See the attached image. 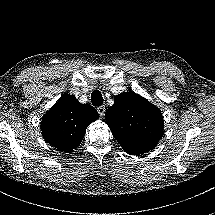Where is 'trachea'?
I'll use <instances>...</instances> for the list:
<instances>
[{
  "label": "trachea",
  "mask_w": 215,
  "mask_h": 215,
  "mask_svg": "<svg viewBox=\"0 0 215 215\" xmlns=\"http://www.w3.org/2000/svg\"><path fill=\"white\" fill-rule=\"evenodd\" d=\"M91 102L94 106H101L103 104V97L100 91L95 90L91 95Z\"/></svg>",
  "instance_id": "obj_1"
}]
</instances>
